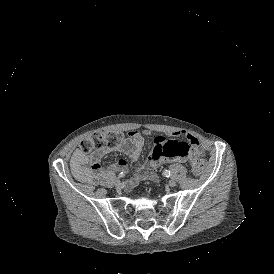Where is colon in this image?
Masks as SVG:
<instances>
[{
	"instance_id": "obj_1",
	"label": "colon",
	"mask_w": 274,
	"mask_h": 274,
	"mask_svg": "<svg viewBox=\"0 0 274 274\" xmlns=\"http://www.w3.org/2000/svg\"><path fill=\"white\" fill-rule=\"evenodd\" d=\"M119 139V134L115 132L98 131L90 134L81 141V148L85 154L97 153L102 148L104 142L115 143ZM207 155L203 151H193L190 161L199 173H204L208 169Z\"/></svg>"
}]
</instances>
